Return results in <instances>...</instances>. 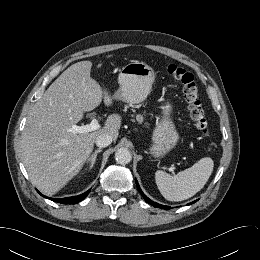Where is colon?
Returning <instances> with one entry per match:
<instances>
[{
  "instance_id": "5ec220e1",
  "label": "colon",
  "mask_w": 260,
  "mask_h": 260,
  "mask_svg": "<svg viewBox=\"0 0 260 260\" xmlns=\"http://www.w3.org/2000/svg\"><path fill=\"white\" fill-rule=\"evenodd\" d=\"M167 73L181 83L183 95L188 104L189 118L194 127L203 136H207V121L198 98V88L193 74L174 64L167 67Z\"/></svg>"
}]
</instances>
